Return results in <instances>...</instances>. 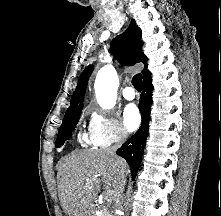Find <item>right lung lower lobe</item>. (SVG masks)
<instances>
[{"label":"right lung lower lobe","instance_id":"1","mask_svg":"<svg viewBox=\"0 0 221 216\" xmlns=\"http://www.w3.org/2000/svg\"><path fill=\"white\" fill-rule=\"evenodd\" d=\"M144 87L143 93L140 96L139 110L141 112L142 124L138 131L128 139L122 146L116 151V154L123 157L130 166L132 178L138 172L140 162L142 159L146 138L148 136V125L150 121V107L152 104V79L147 77L143 80Z\"/></svg>","mask_w":221,"mask_h":216}]
</instances>
